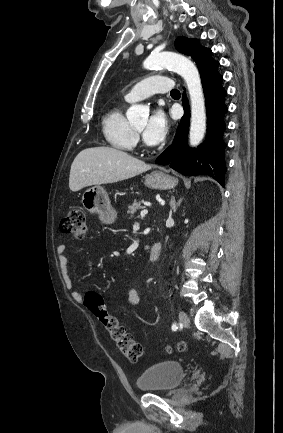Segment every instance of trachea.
Masks as SVG:
<instances>
[{
  "instance_id": "trachea-1",
  "label": "trachea",
  "mask_w": 283,
  "mask_h": 433,
  "mask_svg": "<svg viewBox=\"0 0 283 433\" xmlns=\"http://www.w3.org/2000/svg\"><path fill=\"white\" fill-rule=\"evenodd\" d=\"M171 95H180V91L177 89L171 90Z\"/></svg>"
}]
</instances>
